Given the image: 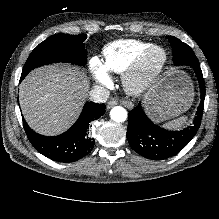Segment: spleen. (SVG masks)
<instances>
[{
	"label": "spleen",
	"instance_id": "3e777b00",
	"mask_svg": "<svg viewBox=\"0 0 219 219\" xmlns=\"http://www.w3.org/2000/svg\"><path fill=\"white\" fill-rule=\"evenodd\" d=\"M184 82V81H183ZM177 90H172V96L170 100L173 101V104H169L167 107H173V108H181L183 106L182 104H187L188 102L190 103L191 101V95L188 87L181 86L180 88L177 86ZM179 101V104H178ZM189 103L187 105H189ZM186 109V108H184ZM177 111V110H175Z\"/></svg>",
	"mask_w": 219,
	"mask_h": 219
}]
</instances>
